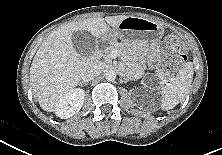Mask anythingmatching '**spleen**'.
Returning a JSON list of instances; mask_svg holds the SVG:
<instances>
[{
  "instance_id": "spleen-1",
  "label": "spleen",
  "mask_w": 222,
  "mask_h": 155,
  "mask_svg": "<svg viewBox=\"0 0 222 155\" xmlns=\"http://www.w3.org/2000/svg\"><path fill=\"white\" fill-rule=\"evenodd\" d=\"M193 64L186 62L175 77L170 78L161 89L162 110H170L185 98L193 79Z\"/></svg>"
}]
</instances>
